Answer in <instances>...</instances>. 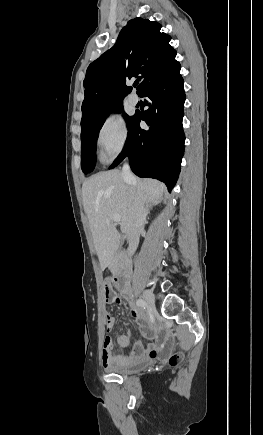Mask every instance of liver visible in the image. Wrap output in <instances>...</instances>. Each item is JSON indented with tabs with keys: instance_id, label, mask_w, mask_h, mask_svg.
<instances>
[{
	"instance_id": "1",
	"label": "liver",
	"mask_w": 263,
	"mask_h": 435,
	"mask_svg": "<svg viewBox=\"0 0 263 435\" xmlns=\"http://www.w3.org/2000/svg\"><path fill=\"white\" fill-rule=\"evenodd\" d=\"M133 187L146 207L158 204L165 191L161 182L152 179L135 178ZM82 198L101 269L104 270L120 244L114 215L121 218L123 238L128 237L132 206L128 185L119 170L99 172L83 183Z\"/></svg>"
}]
</instances>
